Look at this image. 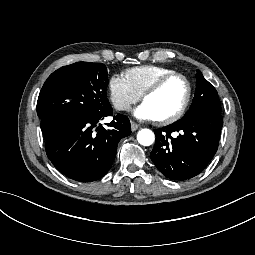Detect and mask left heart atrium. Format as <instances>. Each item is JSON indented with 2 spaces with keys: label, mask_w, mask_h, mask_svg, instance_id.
Returning <instances> with one entry per match:
<instances>
[{
  "label": "left heart atrium",
  "mask_w": 255,
  "mask_h": 255,
  "mask_svg": "<svg viewBox=\"0 0 255 255\" xmlns=\"http://www.w3.org/2000/svg\"><path fill=\"white\" fill-rule=\"evenodd\" d=\"M140 114H141V115L147 114V110H146V109H142V110L140 111Z\"/></svg>",
  "instance_id": "39dd6f15"
}]
</instances>
